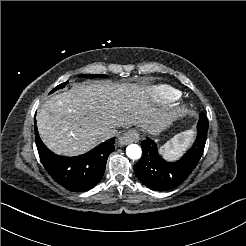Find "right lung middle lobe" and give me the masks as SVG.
<instances>
[{"instance_id":"1","label":"right lung middle lobe","mask_w":246,"mask_h":246,"mask_svg":"<svg viewBox=\"0 0 246 246\" xmlns=\"http://www.w3.org/2000/svg\"><path fill=\"white\" fill-rule=\"evenodd\" d=\"M80 77H85V78H100V77H106V75H93V74H80ZM67 82L65 83H62L60 85H58L56 88H54L50 93L58 90V89H61L65 86Z\"/></svg>"}]
</instances>
